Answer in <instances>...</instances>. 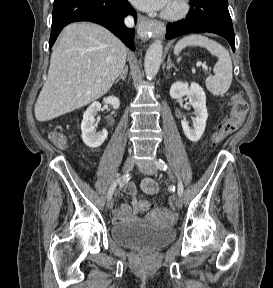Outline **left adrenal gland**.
Masks as SVG:
<instances>
[{"label": "left adrenal gland", "instance_id": "left-adrenal-gland-1", "mask_svg": "<svg viewBox=\"0 0 273 288\" xmlns=\"http://www.w3.org/2000/svg\"><path fill=\"white\" fill-rule=\"evenodd\" d=\"M172 67L177 71V68H176L175 65L172 63L171 59L168 58L166 70H170Z\"/></svg>", "mask_w": 273, "mask_h": 288}]
</instances>
